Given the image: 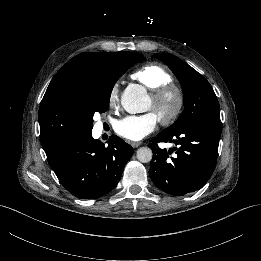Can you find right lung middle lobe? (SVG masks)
<instances>
[{
  "label": "right lung middle lobe",
  "instance_id": "dd1d6c3e",
  "mask_svg": "<svg viewBox=\"0 0 261 261\" xmlns=\"http://www.w3.org/2000/svg\"><path fill=\"white\" fill-rule=\"evenodd\" d=\"M144 56L135 52H122L111 64L100 68L86 82L84 88V108L90 122L89 133L93 127V116L96 112L103 113L109 108L110 95L115 82L132 65L144 61ZM47 156L52 155L59 147V141L53 136L41 139Z\"/></svg>",
  "mask_w": 261,
  "mask_h": 261
}]
</instances>
